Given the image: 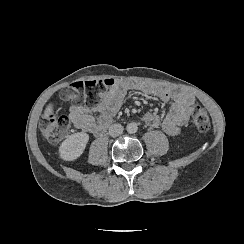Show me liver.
<instances>
[{"label": "liver", "mask_w": 244, "mask_h": 244, "mask_svg": "<svg viewBox=\"0 0 244 244\" xmlns=\"http://www.w3.org/2000/svg\"><path fill=\"white\" fill-rule=\"evenodd\" d=\"M53 112V105L49 104L44 111V118H48L49 114Z\"/></svg>", "instance_id": "1"}]
</instances>
